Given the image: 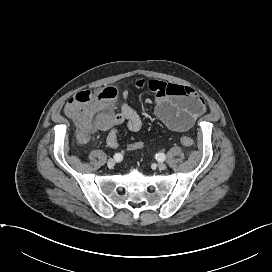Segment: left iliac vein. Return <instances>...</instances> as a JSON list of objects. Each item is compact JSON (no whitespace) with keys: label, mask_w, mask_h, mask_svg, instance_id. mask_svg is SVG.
Returning a JSON list of instances; mask_svg holds the SVG:
<instances>
[{"label":"left iliac vein","mask_w":272,"mask_h":272,"mask_svg":"<svg viewBox=\"0 0 272 272\" xmlns=\"http://www.w3.org/2000/svg\"><path fill=\"white\" fill-rule=\"evenodd\" d=\"M157 167H158L159 170H165L166 169V164L163 163V162H159L157 164Z\"/></svg>","instance_id":"4c4485c4"}]
</instances>
